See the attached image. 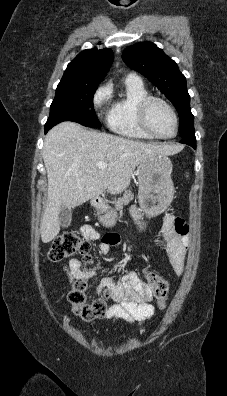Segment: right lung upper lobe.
Here are the masks:
<instances>
[{
	"instance_id": "right-lung-upper-lobe-1",
	"label": "right lung upper lobe",
	"mask_w": 227,
	"mask_h": 396,
	"mask_svg": "<svg viewBox=\"0 0 227 396\" xmlns=\"http://www.w3.org/2000/svg\"><path fill=\"white\" fill-rule=\"evenodd\" d=\"M113 59V52L108 48L84 50L68 64L62 81L100 83L108 72Z\"/></svg>"
}]
</instances>
